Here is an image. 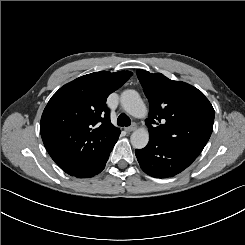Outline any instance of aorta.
I'll use <instances>...</instances> for the list:
<instances>
[{
  "instance_id": "aorta-1",
  "label": "aorta",
  "mask_w": 245,
  "mask_h": 245,
  "mask_svg": "<svg viewBox=\"0 0 245 245\" xmlns=\"http://www.w3.org/2000/svg\"><path fill=\"white\" fill-rule=\"evenodd\" d=\"M121 104L124 110L135 118H143L147 115V108L140 95L135 90H125L122 92ZM131 144L136 149L146 147L149 141V132L145 128L135 130L130 137Z\"/></svg>"
}]
</instances>
